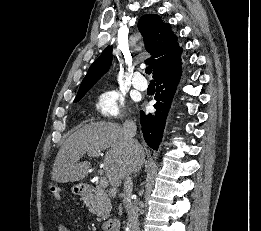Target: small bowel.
Listing matches in <instances>:
<instances>
[{"label":"small bowel","mask_w":261,"mask_h":231,"mask_svg":"<svg viewBox=\"0 0 261 231\" xmlns=\"http://www.w3.org/2000/svg\"><path fill=\"white\" fill-rule=\"evenodd\" d=\"M58 231H71V229L66 225L61 224L58 226Z\"/></svg>","instance_id":"c3829d8e"}]
</instances>
